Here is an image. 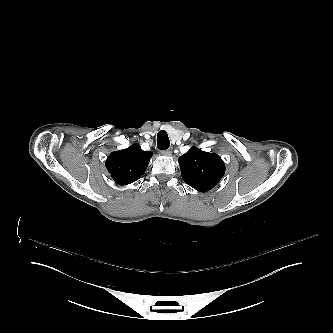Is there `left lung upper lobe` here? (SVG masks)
<instances>
[{"label": "left lung upper lobe", "instance_id": "obj_1", "mask_svg": "<svg viewBox=\"0 0 333 333\" xmlns=\"http://www.w3.org/2000/svg\"><path fill=\"white\" fill-rule=\"evenodd\" d=\"M184 182L200 192H207L217 185L225 172V164L215 153L197 147L179 157Z\"/></svg>", "mask_w": 333, "mask_h": 333}]
</instances>
